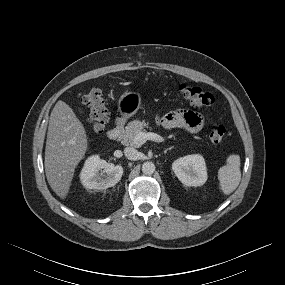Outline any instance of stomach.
I'll return each instance as SVG.
<instances>
[{
	"instance_id": "stomach-1",
	"label": "stomach",
	"mask_w": 285,
	"mask_h": 285,
	"mask_svg": "<svg viewBox=\"0 0 285 285\" xmlns=\"http://www.w3.org/2000/svg\"><path fill=\"white\" fill-rule=\"evenodd\" d=\"M141 107V95L138 92L126 91L119 99V109L124 118L134 116Z\"/></svg>"
}]
</instances>
